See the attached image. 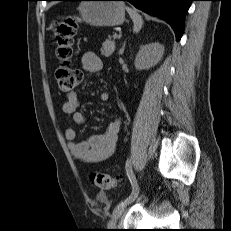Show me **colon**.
<instances>
[{
	"label": "colon",
	"instance_id": "5ec220e1",
	"mask_svg": "<svg viewBox=\"0 0 231 231\" xmlns=\"http://www.w3.org/2000/svg\"><path fill=\"white\" fill-rule=\"evenodd\" d=\"M78 26V18L64 15L52 23V42L56 46L60 63L55 77L62 93H71L82 81V72L71 65L73 40ZM90 180L100 190H108L116 185V179L106 173L91 172Z\"/></svg>",
	"mask_w": 231,
	"mask_h": 231
}]
</instances>
